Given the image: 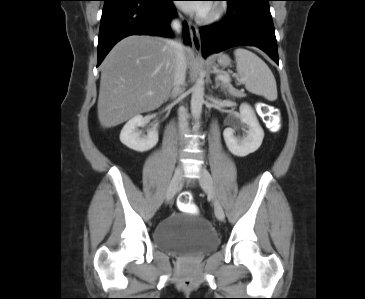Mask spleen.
<instances>
[{
	"mask_svg": "<svg viewBox=\"0 0 365 299\" xmlns=\"http://www.w3.org/2000/svg\"><path fill=\"white\" fill-rule=\"evenodd\" d=\"M237 72L246 89L264 96L270 101L277 99V86L274 75L267 64L255 53L238 48L234 51Z\"/></svg>",
	"mask_w": 365,
	"mask_h": 299,
	"instance_id": "1",
	"label": "spleen"
}]
</instances>
